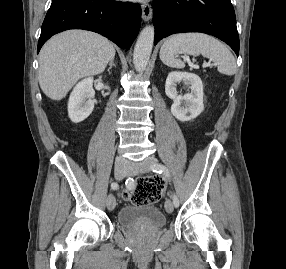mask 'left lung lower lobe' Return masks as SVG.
<instances>
[{"mask_svg":"<svg viewBox=\"0 0 286 269\" xmlns=\"http://www.w3.org/2000/svg\"><path fill=\"white\" fill-rule=\"evenodd\" d=\"M154 44L180 32H202L226 42L239 55L236 17L230 0H154Z\"/></svg>","mask_w":286,"mask_h":269,"instance_id":"obj_1","label":"left lung lower lobe"}]
</instances>
